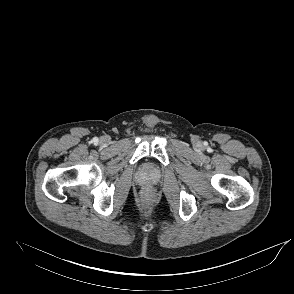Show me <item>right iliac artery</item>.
<instances>
[{
  "mask_svg": "<svg viewBox=\"0 0 294 294\" xmlns=\"http://www.w3.org/2000/svg\"><path fill=\"white\" fill-rule=\"evenodd\" d=\"M93 141H94L95 143H97V142H98V139H97V138H94Z\"/></svg>",
  "mask_w": 294,
  "mask_h": 294,
  "instance_id": "obj_1",
  "label": "right iliac artery"
}]
</instances>
